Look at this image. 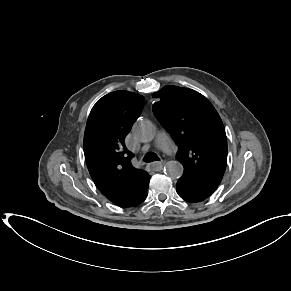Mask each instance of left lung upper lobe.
<instances>
[{"mask_svg": "<svg viewBox=\"0 0 291 291\" xmlns=\"http://www.w3.org/2000/svg\"><path fill=\"white\" fill-rule=\"evenodd\" d=\"M156 118L178 145L177 158L184 172L180 181L212 194L227 164V137L222 120L202 94L192 89L165 86L153 94Z\"/></svg>", "mask_w": 291, "mask_h": 291, "instance_id": "obj_1", "label": "left lung upper lobe"}]
</instances>
